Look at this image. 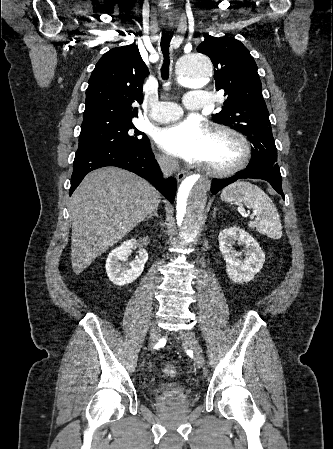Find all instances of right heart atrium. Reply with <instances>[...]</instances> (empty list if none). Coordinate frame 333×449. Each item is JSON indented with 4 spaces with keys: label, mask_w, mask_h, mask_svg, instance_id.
Instances as JSON below:
<instances>
[{
    "label": "right heart atrium",
    "mask_w": 333,
    "mask_h": 449,
    "mask_svg": "<svg viewBox=\"0 0 333 449\" xmlns=\"http://www.w3.org/2000/svg\"><path fill=\"white\" fill-rule=\"evenodd\" d=\"M157 159L161 167L165 170L171 171L176 168V161L169 155L161 153L158 155Z\"/></svg>",
    "instance_id": "d8ad5b80"
}]
</instances>
